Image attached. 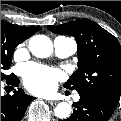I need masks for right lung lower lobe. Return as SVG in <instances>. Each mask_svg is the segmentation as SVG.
<instances>
[{
  "label": "right lung lower lobe",
  "instance_id": "right-lung-lower-lobe-1",
  "mask_svg": "<svg viewBox=\"0 0 121 121\" xmlns=\"http://www.w3.org/2000/svg\"><path fill=\"white\" fill-rule=\"evenodd\" d=\"M10 85L17 86L19 79L11 74L6 78ZM35 98L24 93L22 89L14 90L12 96L1 97V121H20L25 114L28 105Z\"/></svg>",
  "mask_w": 121,
  "mask_h": 121
}]
</instances>
